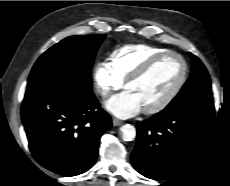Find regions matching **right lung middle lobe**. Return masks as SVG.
Segmentation results:
<instances>
[{
	"mask_svg": "<svg viewBox=\"0 0 230 186\" xmlns=\"http://www.w3.org/2000/svg\"><path fill=\"white\" fill-rule=\"evenodd\" d=\"M105 35L71 36L44 52L36 61L27 90L64 83L82 91H92L91 68Z\"/></svg>",
	"mask_w": 230,
	"mask_h": 186,
	"instance_id": "obj_1",
	"label": "right lung middle lobe"
}]
</instances>
